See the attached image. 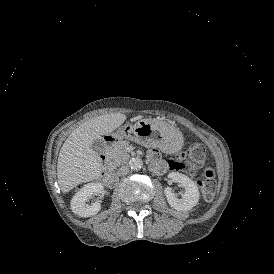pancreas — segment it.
I'll return each instance as SVG.
<instances>
[{"label":"pancreas","mask_w":274,"mask_h":274,"mask_svg":"<svg viewBox=\"0 0 274 274\" xmlns=\"http://www.w3.org/2000/svg\"><path fill=\"white\" fill-rule=\"evenodd\" d=\"M128 145L129 142L124 140L116 142L113 147H106L104 152L106 160H108L113 167L125 164L129 159V154L126 151Z\"/></svg>","instance_id":"pancreas-1"}]
</instances>
